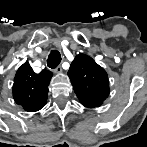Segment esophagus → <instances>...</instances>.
<instances>
[{
	"instance_id": "esophagus-1",
	"label": "esophagus",
	"mask_w": 147,
	"mask_h": 147,
	"mask_svg": "<svg viewBox=\"0 0 147 147\" xmlns=\"http://www.w3.org/2000/svg\"><path fill=\"white\" fill-rule=\"evenodd\" d=\"M61 72H62L61 67H57V68L55 69V73H56V74H60Z\"/></svg>"
}]
</instances>
